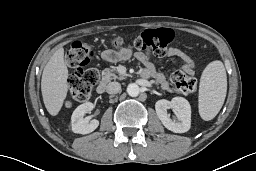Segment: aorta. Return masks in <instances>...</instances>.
Returning a JSON list of instances; mask_svg holds the SVG:
<instances>
[{"instance_id":"762f6f07","label":"aorta","mask_w":256,"mask_h":171,"mask_svg":"<svg viewBox=\"0 0 256 171\" xmlns=\"http://www.w3.org/2000/svg\"><path fill=\"white\" fill-rule=\"evenodd\" d=\"M127 93L131 97H136L140 93V87L135 83H131L127 87Z\"/></svg>"}]
</instances>
